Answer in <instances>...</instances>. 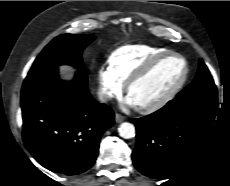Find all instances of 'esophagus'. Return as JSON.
Here are the masks:
<instances>
[{"label": "esophagus", "instance_id": "1", "mask_svg": "<svg viewBox=\"0 0 230 186\" xmlns=\"http://www.w3.org/2000/svg\"><path fill=\"white\" fill-rule=\"evenodd\" d=\"M124 116L123 115H121V114H119V113H116L115 114V121L117 122V123H121L123 120H124Z\"/></svg>", "mask_w": 230, "mask_h": 186}]
</instances>
